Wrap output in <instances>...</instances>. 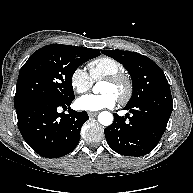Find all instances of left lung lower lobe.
Returning <instances> with one entry per match:
<instances>
[{"label":"left lung lower lobe","mask_w":193,"mask_h":193,"mask_svg":"<svg viewBox=\"0 0 193 193\" xmlns=\"http://www.w3.org/2000/svg\"><path fill=\"white\" fill-rule=\"evenodd\" d=\"M132 116L127 119L114 113L112 125L104 129L108 145L126 156H143L151 152L160 141L171 116L170 86L146 97L134 106H125Z\"/></svg>","instance_id":"1"}]
</instances>
